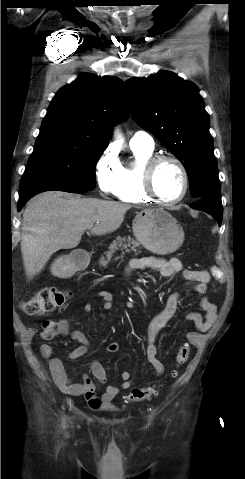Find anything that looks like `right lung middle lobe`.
Instances as JSON below:
<instances>
[{"instance_id": "obj_1", "label": "right lung middle lobe", "mask_w": 245, "mask_h": 479, "mask_svg": "<svg viewBox=\"0 0 245 479\" xmlns=\"http://www.w3.org/2000/svg\"><path fill=\"white\" fill-rule=\"evenodd\" d=\"M105 149L67 132L40 131L19 189L36 184H58L93 190L96 164Z\"/></svg>"}]
</instances>
